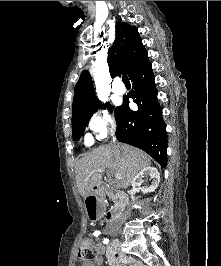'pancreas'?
<instances>
[{"instance_id": "cf45deb5", "label": "pancreas", "mask_w": 221, "mask_h": 266, "mask_svg": "<svg viewBox=\"0 0 221 266\" xmlns=\"http://www.w3.org/2000/svg\"><path fill=\"white\" fill-rule=\"evenodd\" d=\"M113 201L115 202V207L116 208L120 207V203L119 202L115 201L114 199H113Z\"/></svg>"}]
</instances>
